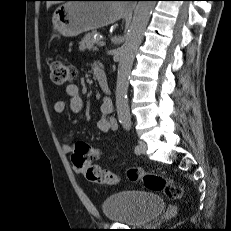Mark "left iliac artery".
<instances>
[{
  "label": "left iliac artery",
  "instance_id": "44dca946",
  "mask_svg": "<svg viewBox=\"0 0 231 231\" xmlns=\"http://www.w3.org/2000/svg\"><path fill=\"white\" fill-rule=\"evenodd\" d=\"M122 124H123V127H124L126 130L129 131V130L131 129V121H129V120H124V121L122 122ZM135 152L139 154V147H138V146L135 147Z\"/></svg>",
  "mask_w": 231,
  "mask_h": 231
}]
</instances>
